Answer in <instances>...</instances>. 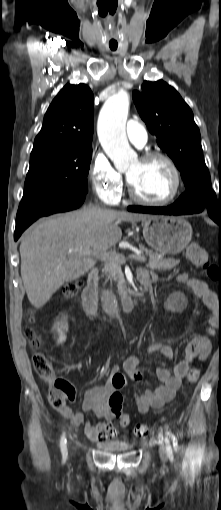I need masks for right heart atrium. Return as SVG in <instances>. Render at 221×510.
<instances>
[{
	"mask_svg": "<svg viewBox=\"0 0 221 510\" xmlns=\"http://www.w3.org/2000/svg\"><path fill=\"white\" fill-rule=\"evenodd\" d=\"M89 177L98 197L106 204H114L123 190V178L102 152H94Z\"/></svg>",
	"mask_w": 221,
	"mask_h": 510,
	"instance_id": "d8ad5b80",
	"label": "right heart atrium"
}]
</instances>
